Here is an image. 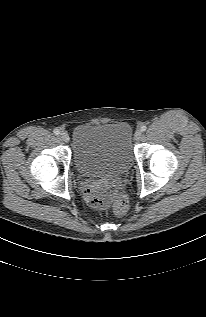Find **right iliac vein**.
Wrapping results in <instances>:
<instances>
[{
	"label": "right iliac vein",
	"instance_id": "1",
	"mask_svg": "<svg viewBox=\"0 0 206 317\" xmlns=\"http://www.w3.org/2000/svg\"><path fill=\"white\" fill-rule=\"evenodd\" d=\"M60 138L64 141V142H68L69 141V135L66 132H62L60 134Z\"/></svg>",
	"mask_w": 206,
	"mask_h": 317
}]
</instances>
